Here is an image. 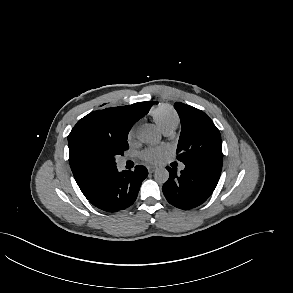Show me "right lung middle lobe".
I'll return each instance as SVG.
<instances>
[{"instance_id":"dd1d6c3e","label":"right lung middle lobe","mask_w":293,"mask_h":293,"mask_svg":"<svg viewBox=\"0 0 293 293\" xmlns=\"http://www.w3.org/2000/svg\"><path fill=\"white\" fill-rule=\"evenodd\" d=\"M127 136L128 134L119 140H110L101 144L96 148V155L100 159L116 165L115 156L123 155V152L129 147L127 143Z\"/></svg>"}]
</instances>
